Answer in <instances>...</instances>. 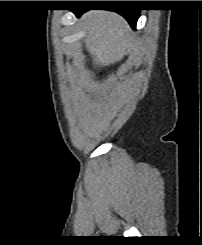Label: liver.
Wrapping results in <instances>:
<instances>
[{
	"label": "liver",
	"instance_id": "6515ba94",
	"mask_svg": "<svg viewBox=\"0 0 202 245\" xmlns=\"http://www.w3.org/2000/svg\"><path fill=\"white\" fill-rule=\"evenodd\" d=\"M87 24L85 46L97 66L119 62L130 50L131 33L125 19L112 12H89L83 16Z\"/></svg>",
	"mask_w": 202,
	"mask_h": 245
}]
</instances>
